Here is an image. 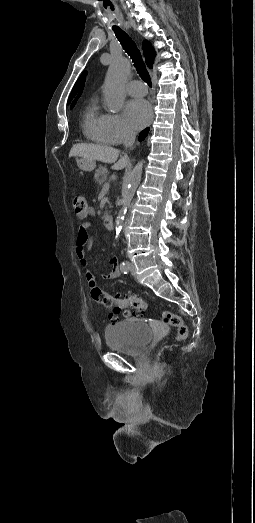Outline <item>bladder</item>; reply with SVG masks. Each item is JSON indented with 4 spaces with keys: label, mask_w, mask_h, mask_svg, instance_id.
I'll return each mask as SVG.
<instances>
[{
    "label": "bladder",
    "mask_w": 255,
    "mask_h": 523,
    "mask_svg": "<svg viewBox=\"0 0 255 523\" xmlns=\"http://www.w3.org/2000/svg\"><path fill=\"white\" fill-rule=\"evenodd\" d=\"M106 346L113 351L140 353L152 337V330L141 321H128L105 327Z\"/></svg>",
    "instance_id": "31cf9c89"
}]
</instances>
